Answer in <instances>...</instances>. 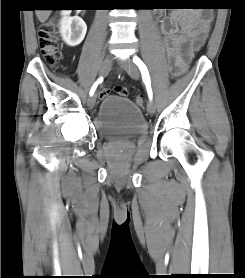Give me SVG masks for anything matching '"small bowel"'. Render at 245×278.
I'll list each match as a JSON object with an SVG mask.
<instances>
[{
	"label": "small bowel",
	"mask_w": 245,
	"mask_h": 278,
	"mask_svg": "<svg viewBox=\"0 0 245 278\" xmlns=\"http://www.w3.org/2000/svg\"><path fill=\"white\" fill-rule=\"evenodd\" d=\"M205 16L200 11H177L159 24L170 65L180 72L185 70L188 61L208 37L209 29L204 30L202 27Z\"/></svg>",
	"instance_id": "c3829d8e"
}]
</instances>
